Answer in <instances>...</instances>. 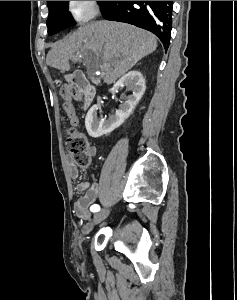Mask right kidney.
<instances>
[{
    "mask_svg": "<svg viewBox=\"0 0 237 300\" xmlns=\"http://www.w3.org/2000/svg\"><path fill=\"white\" fill-rule=\"evenodd\" d=\"M123 87H126L127 91H131L132 95L125 97L126 101H123L122 105H119V109H116L114 115H109L108 119L99 121L97 117L98 105H93L89 109L85 119V127L90 137L97 139L102 135H109L111 131L120 127L130 117L145 93V79L139 71H129L127 75L115 83L114 87L110 89V93H116L118 89H123Z\"/></svg>",
    "mask_w": 237,
    "mask_h": 300,
    "instance_id": "right-kidney-1",
    "label": "right kidney"
}]
</instances>
